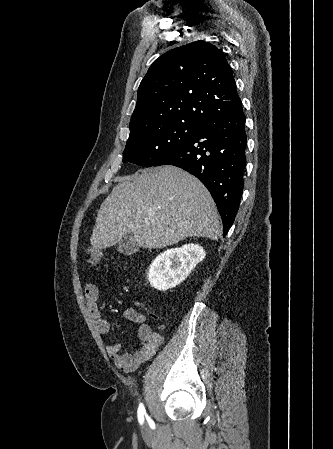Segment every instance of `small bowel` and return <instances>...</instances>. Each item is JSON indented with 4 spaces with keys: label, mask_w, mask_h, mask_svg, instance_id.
<instances>
[{
    "label": "small bowel",
    "mask_w": 333,
    "mask_h": 449,
    "mask_svg": "<svg viewBox=\"0 0 333 449\" xmlns=\"http://www.w3.org/2000/svg\"><path fill=\"white\" fill-rule=\"evenodd\" d=\"M87 300L88 313L94 321L95 327L100 334L110 332V323L103 318L98 306L99 289L93 283H87L84 288ZM123 316L128 320L139 325L137 337L140 345L133 353H123L121 344L111 343L106 346V352L115 365L124 372H131L138 369L144 362L149 360L163 341V337L153 332L151 327L146 324L145 317L133 309H128Z\"/></svg>",
    "instance_id": "small-bowel-1"
}]
</instances>
